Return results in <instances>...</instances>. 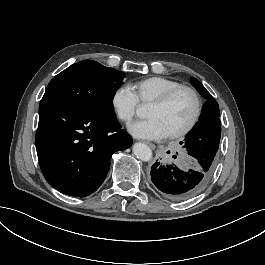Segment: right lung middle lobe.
I'll return each instance as SVG.
<instances>
[{
    "label": "right lung middle lobe",
    "mask_w": 265,
    "mask_h": 265,
    "mask_svg": "<svg viewBox=\"0 0 265 265\" xmlns=\"http://www.w3.org/2000/svg\"><path fill=\"white\" fill-rule=\"evenodd\" d=\"M125 74L92 60L71 65L48 84L41 102H56L83 112L116 119L112 100Z\"/></svg>",
    "instance_id": "right-lung-middle-lobe-1"
}]
</instances>
